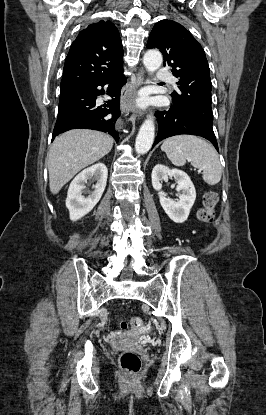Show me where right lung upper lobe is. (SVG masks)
<instances>
[{
  "label": "right lung upper lobe",
  "mask_w": 266,
  "mask_h": 415,
  "mask_svg": "<svg viewBox=\"0 0 266 415\" xmlns=\"http://www.w3.org/2000/svg\"><path fill=\"white\" fill-rule=\"evenodd\" d=\"M119 32L110 21L82 30L72 43L64 64L61 90L103 79L123 69Z\"/></svg>",
  "instance_id": "obj_1"
}]
</instances>
